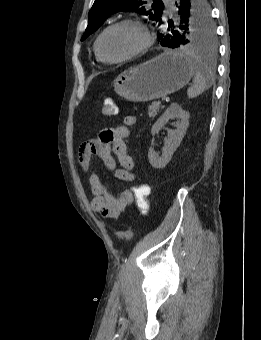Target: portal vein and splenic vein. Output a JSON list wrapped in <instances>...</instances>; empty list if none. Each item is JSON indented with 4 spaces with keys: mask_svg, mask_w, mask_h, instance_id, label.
<instances>
[{
    "mask_svg": "<svg viewBox=\"0 0 261 340\" xmlns=\"http://www.w3.org/2000/svg\"><path fill=\"white\" fill-rule=\"evenodd\" d=\"M167 100V97L161 98V102H165Z\"/></svg>",
    "mask_w": 261,
    "mask_h": 340,
    "instance_id": "obj_1",
    "label": "portal vein and splenic vein"
}]
</instances>
